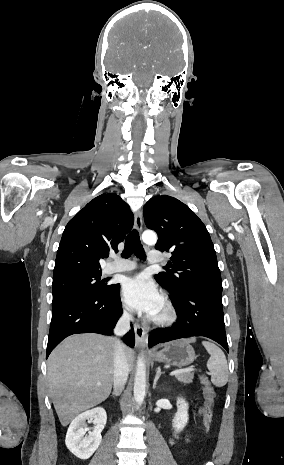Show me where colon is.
<instances>
[{
    "label": "colon",
    "instance_id": "5ec220e1",
    "mask_svg": "<svg viewBox=\"0 0 284 465\" xmlns=\"http://www.w3.org/2000/svg\"><path fill=\"white\" fill-rule=\"evenodd\" d=\"M201 383L206 397L205 429L208 430L215 406V392L205 375L201 376Z\"/></svg>",
    "mask_w": 284,
    "mask_h": 465
}]
</instances>
